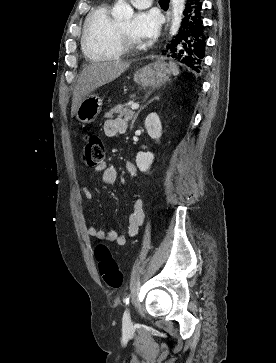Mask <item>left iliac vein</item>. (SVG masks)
Wrapping results in <instances>:
<instances>
[{"label": "left iliac vein", "mask_w": 276, "mask_h": 363, "mask_svg": "<svg viewBox=\"0 0 276 363\" xmlns=\"http://www.w3.org/2000/svg\"><path fill=\"white\" fill-rule=\"evenodd\" d=\"M123 322H124V324H128L130 322V313H129L128 309H126L124 312Z\"/></svg>", "instance_id": "left-iliac-vein-1"}]
</instances>
